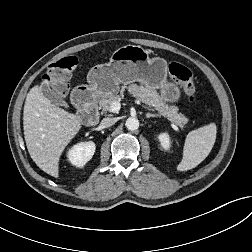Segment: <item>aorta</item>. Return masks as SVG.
Listing matches in <instances>:
<instances>
[{
  "instance_id": "aorta-1",
  "label": "aorta",
  "mask_w": 252,
  "mask_h": 252,
  "mask_svg": "<svg viewBox=\"0 0 252 252\" xmlns=\"http://www.w3.org/2000/svg\"><path fill=\"white\" fill-rule=\"evenodd\" d=\"M125 126L130 131L137 130L139 128V120L135 117H129L126 120Z\"/></svg>"
}]
</instances>
